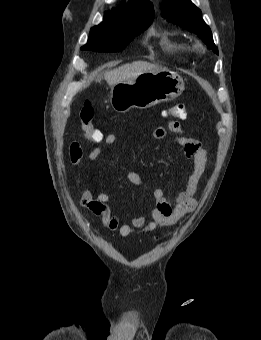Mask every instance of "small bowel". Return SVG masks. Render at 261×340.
<instances>
[{
  "instance_id": "obj_1",
  "label": "small bowel",
  "mask_w": 261,
  "mask_h": 340,
  "mask_svg": "<svg viewBox=\"0 0 261 340\" xmlns=\"http://www.w3.org/2000/svg\"><path fill=\"white\" fill-rule=\"evenodd\" d=\"M168 128L176 134V141L184 149L186 157L191 158L193 161V169L187 179L186 186L179 192L174 203H170L166 199L161 188H156L153 190L155 205L151 210V220L147 221L144 217H138L131 222L122 223L117 216L111 213L108 207L109 193L105 191L94 193L91 189H86L80 196V205L84 209L99 216L104 227L111 231H117L122 237H128L133 231L144 234L153 232L158 227L173 225L196 208L197 202L194 195L209 163L208 153L198 140L184 135L178 122L170 121ZM152 134L154 138L162 139L166 136V129L161 126L156 127ZM116 140L117 136L114 133H110L102 139L105 145H112ZM101 153L102 148L95 147L89 154L84 156L83 149L77 142L71 143L69 147L70 161L76 166L95 162ZM126 177L132 184L145 187L143 180L136 172L128 170L126 171Z\"/></svg>"
}]
</instances>
